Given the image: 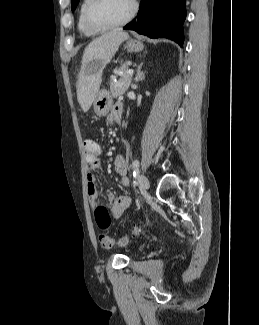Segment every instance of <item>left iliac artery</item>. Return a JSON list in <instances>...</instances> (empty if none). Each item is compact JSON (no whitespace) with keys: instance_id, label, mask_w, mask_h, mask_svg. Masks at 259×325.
<instances>
[{"instance_id":"obj_1","label":"left iliac artery","mask_w":259,"mask_h":325,"mask_svg":"<svg viewBox=\"0 0 259 325\" xmlns=\"http://www.w3.org/2000/svg\"><path fill=\"white\" fill-rule=\"evenodd\" d=\"M136 164H139V161H138V160H134V161L132 162V164H131L132 169L135 168V165H136Z\"/></svg>"}]
</instances>
